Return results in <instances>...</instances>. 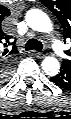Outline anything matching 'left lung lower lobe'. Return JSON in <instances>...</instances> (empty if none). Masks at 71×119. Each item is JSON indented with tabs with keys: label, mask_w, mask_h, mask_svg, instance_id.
I'll list each match as a JSON object with an SVG mask.
<instances>
[{
	"label": "left lung lower lobe",
	"mask_w": 71,
	"mask_h": 119,
	"mask_svg": "<svg viewBox=\"0 0 71 119\" xmlns=\"http://www.w3.org/2000/svg\"><path fill=\"white\" fill-rule=\"evenodd\" d=\"M52 82L68 90L71 88V66L62 64L60 73L51 78Z\"/></svg>",
	"instance_id": "1"
}]
</instances>
